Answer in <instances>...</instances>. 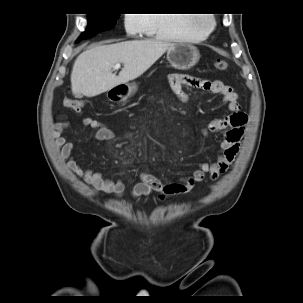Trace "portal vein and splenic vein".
<instances>
[{"mask_svg":"<svg viewBox=\"0 0 303 303\" xmlns=\"http://www.w3.org/2000/svg\"><path fill=\"white\" fill-rule=\"evenodd\" d=\"M120 67H121V64H120V63H117V64L114 66L115 69H118V68H120Z\"/></svg>","mask_w":303,"mask_h":303,"instance_id":"18ae733b","label":"portal vein and splenic vein"}]
</instances>
